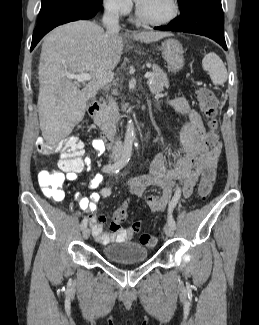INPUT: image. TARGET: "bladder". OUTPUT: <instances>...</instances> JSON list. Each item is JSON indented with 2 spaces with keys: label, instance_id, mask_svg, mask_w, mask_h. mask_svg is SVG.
Returning <instances> with one entry per match:
<instances>
[{
  "label": "bladder",
  "instance_id": "obj_1",
  "mask_svg": "<svg viewBox=\"0 0 259 325\" xmlns=\"http://www.w3.org/2000/svg\"><path fill=\"white\" fill-rule=\"evenodd\" d=\"M104 257L117 264L144 262L148 258L147 248L134 241L112 243L103 248Z\"/></svg>",
  "mask_w": 259,
  "mask_h": 325
}]
</instances>
